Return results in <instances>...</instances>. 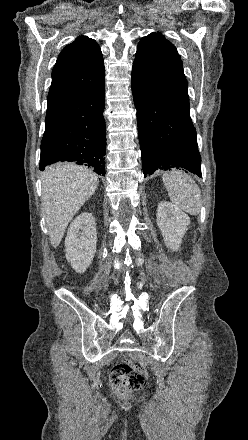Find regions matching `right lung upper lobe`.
<instances>
[{"label":"right lung upper lobe","instance_id":"1","mask_svg":"<svg viewBox=\"0 0 248 440\" xmlns=\"http://www.w3.org/2000/svg\"><path fill=\"white\" fill-rule=\"evenodd\" d=\"M104 62L95 40L80 36L58 56L52 71L48 102L91 90L104 81Z\"/></svg>","mask_w":248,"mask_h":440}]
</instances>
